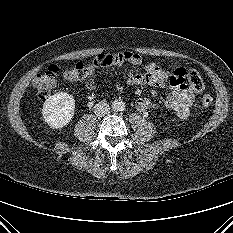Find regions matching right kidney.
Masks as SVG:
<instances>
[{
	"instance_id": "right-kidney-1",
	"label": "right kidney",
	"mask_w": 233,
	"mask_h": 233,
	"mask_svg": "<svg viewBox=\"0 0 233 233\" xmlns=\"http://www.w3.org/2000/svg\"><path fill=\"white\" fill-rule=\"evenodd\" d=\"M75 100L66 92L50 96L43 105L42 115L45 122L53 129H61L73 118Z\"/></svg>"
}]
</instances>
